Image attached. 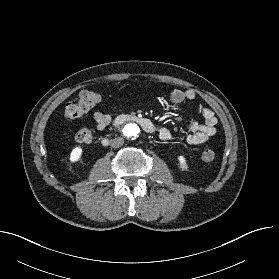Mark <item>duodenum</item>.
Segmentation results:
<instances>
[{
	"mask_svg": "<svg viewBox=\"0 0 279 279\" xmlns=\"http://www.w3.org/2000/svg\"><path fill=\"white\" fill-rule=\"evenodd\" d=\"M136 122L138 123L144 131L148 132V133H153L155 132V127L154 125L151 123L150 120L146 119V118H141V117H137V116H133V115H128V114H123L117 117V119L115 120V127H119L120 125L126 123V122ZM101 144L103 147H106L109 145V139L108 138H103L101 140Z\"/></svg>",
	"mask_w": 279,
	"mask_h": 279,
	"instance_id": "duodenum-1",
	"label": "duodenum"
}]
</instances>
